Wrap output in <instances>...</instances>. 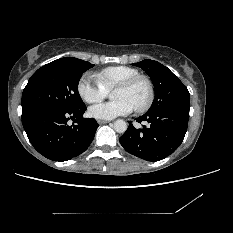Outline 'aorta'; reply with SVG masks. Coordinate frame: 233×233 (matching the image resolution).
<instances>
[{
    "label": "aorta",
    "mask_w": 233,
    "mask_h": 233,
    "mask_svg": "<svg viewBox=\"0 0 233 233\" xmlns=\"http://www.w3.org/2000/svg\"><path fill=\"white\" fill-rule=\"evenodd\" d=\"M114 130L118 133H124L127 130V123L124 120H116L114 122Z\"/></svg>",
    "instance_id": "762f6f07"
}]
</instances>
